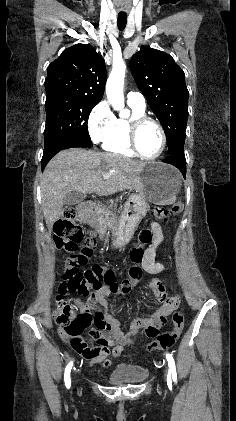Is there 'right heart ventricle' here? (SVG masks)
<instances>
[{
    "label": "right heart ventricle",
    "mask_w": 236,
    "mask_h": 421,
    "mask_svg": "<svg viewBox=\"0 0 236 421\" xmlns=\"http://www.w3.org/2000/svg\"><path fill=\"white\" fill-rule=\"evenodd\" d=\"M132 110V116L143 115L144 108L129 104ZM130 117H119L115 118L113 124L108 131L107 135L102 141L103 150L121 157H134L135 154L132 151L126 134V125Z\"/></svg>",
    "instance_id": "obj_1"
}]
</instances>
